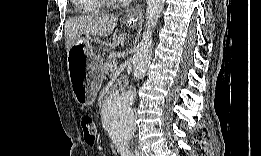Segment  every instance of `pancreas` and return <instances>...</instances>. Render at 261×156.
Masks as SVG:
<instances>
[{
	"label": "pancreas",
	"instance_id": "obj_1",
	"mask_svg": "<svg viewBox=\"0 0 261 156\" xmlns=\"http://www.w3.org/2000/svg\"><path fill=\"white\" fill-rule=\"evenodd\" d=\"M114 64H117V55L115 53H110L106 61L102 64L101 73L102 75L108 74L110 67Z\"/></svg>",
	"mask_w": 261,
	"mask_h": 156
}]
</instances>
